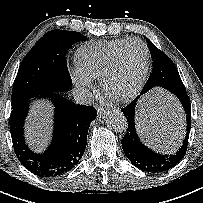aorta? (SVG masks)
<instances>
[{
  "label": "aorta",
  "mask_w": 203,
  "mask_h": 203,
  "mask_svg": "<svg viewBox=\"0 0 203 203\" xmlns=\"http://www.w3.org/2000/svg\"><path fill=\"white\" fill-rule=\"evenodd\" d=\"M105 123L114 132L123 133L126 131L128 122L120 110H112L107 113Z\"/></svg>",
  "instance_id": "1"
}]
</instances>
